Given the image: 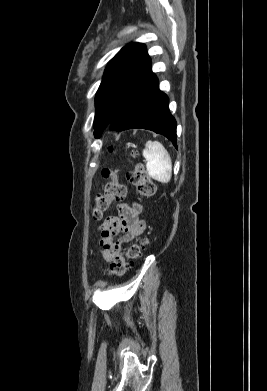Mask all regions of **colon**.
I'll use <instances>...</instances> for the list:
<instances>
[{
    "mask_svg": "<svg viewBox=\"0 0 267 391\" xmlns=\"http://www.w3.org/2000/svg\"><path fill=\"white\" fill-rule=\"evenodd\" d=\"M102 176L106 180L103 192L99 193L92 207V215L95 220H100L110 209L113 201L123 200L126 196V187L118 180L117 169L104 168ZM128 180L136 187L137 192L144 197L152 196L155 193V184L147 174L142 164H137L133 170L128 173ZM147 244V239L132 244L125 252L115 255L110 261L107 273L114 276H122L128 267L130 261L136 259L141 250Z\"/></svg>",
    "mask_w": 267,
    "mask_h": 391,
    "instance_id": "5ec220e1",
    "label": "colon"
}]
</instances>
